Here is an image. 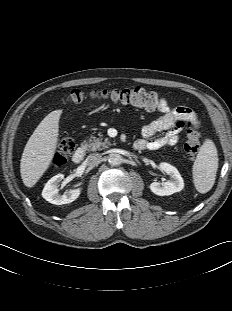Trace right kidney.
Wrapping results in <instances>:
<instances>
[{
  "label": "right kidney",
  "instance_id": "right-kidney-1",
  "mask_svg": "<svg viewBox=\"0 0 232 311\" xmlns=\"http://www.w3.org/2000/svg\"><path fill=\"white\" fill-rule=\"evenodd\" d=\"M64 179L63 174H57L52 177L46 184L42 191V197L48 202L56 205L71 203L76 200L80 193L81 188L73 189L65 192L63 195L59 194L57 185Z\"/></svg>",
  "mask_w": 232,
  "mask_h": 311
}]
</instances>
